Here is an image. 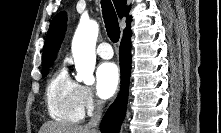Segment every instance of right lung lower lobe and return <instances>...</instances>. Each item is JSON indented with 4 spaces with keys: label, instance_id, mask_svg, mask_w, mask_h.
Listing matches in <instances>:
<instances>
[{
    "label": "right lung lower lobe",
    "instance_id": "obj_1",
    "mask_svg": "<svg viewBox=\"0 0 221 133\" xmlns=\"http://www.w3.org/2000/svg\"><path fill=\"white\" fill-rule=\"evenodd\" d=\"M130 36L131 32L126 33L120 45L121 90L101 121L102 133H118L125 117L131 73Z\"/></svg>",
    "mask_w": 221,
    "mask_h": 133
}]
</instances>
